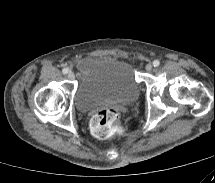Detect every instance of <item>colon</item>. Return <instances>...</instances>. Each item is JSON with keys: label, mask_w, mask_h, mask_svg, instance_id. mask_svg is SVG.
<instances>
[{"label": "colon", "mask_w": 215, "mask_h": 183, "mask_svg": "<svg viewBox=\"0 0 215 183\" xmlns=\"http://www.w3.org/2000/svg\"><path fill=\"white\" fill-rule=\"evenodd\" d=\"M92 133L100 138L109 137L122 130L118 110L107 108L96 113L90 121Z\"/></svg>", "instance_id": "5ec220e1"}]
</instances>
